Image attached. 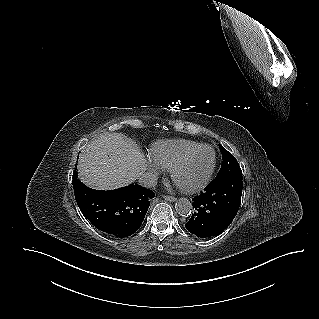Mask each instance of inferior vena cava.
I'll use <instances>...</instances> for the list:
<instances>
[{
    "instance_id": "inferior-vena-cava-1",
    "label": "inferior vena cava",
    "mask_w": 319,
    "mask_h": 319,
    "mask_svg": "<svg viewBox=\"0 0 319 319\" xmlns=\"http://www.w3.org/2000/svg\"><path fill=\"white\" fill-rule=\"evenodd\" d=\"M139 183L145 188H154L157 185V177L152 172H146L139 178Z\"/></svg>"
}]
</instances>
